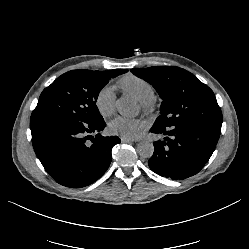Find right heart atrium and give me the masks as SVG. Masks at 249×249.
Returning a JSON list of instances; mask_svg holds the SVG:
<instances>
[{"instance_id": "right-heart-atrium-1", "label": "right heart atrium", "mask_w": 249, "mask_h": 249, "mask_svg": "<svg viewBox=\"0 0 249 249\" xmlns=\"http://www.w3.org/2000/svg\"><path fill=\"white\" fill-rule=\"evenodd\" d=\"M116 94L110 85L102 86L95 96V106L103 117L110 116L115 110Z\"/></svg>"}]
</instances>
